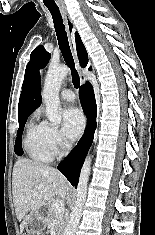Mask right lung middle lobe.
Wrapping results in <instances>:
<instances>
[{"label":"right lung middle lobe","instance_id":"dd1d6c3e","mask_svg":"<svg viewBox=\"0 0 155 235\" xmlns=\"http://www.w3.org/2000/svg\"><path fill=\"white\" fill-rule=\"evenodd\" d=\"M27 118H28V116L19 119V129H18L16 141H15V146H14V151L19 156L23 155V149H22V146H21V138H22V133H23V130H24V125H25V123L27 121Z\"/></svg>","mask_w":155,"mask_h":235}]
</instances>
